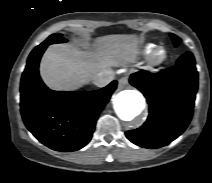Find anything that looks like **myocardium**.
I'll return each mask as SVG.
<instances>
[{
    "instance_id": "obj_1",
    "label": "myocardium",
    "mask_w": 212,
    "mask_h": 183,
    "mask_svg": "<svg viewBox=\"0 0 212 183\" xmlns=\"http://www.w3.org/2000/svg\"><path fill=\"white\" fill-rule=\"evenodd\" d=\"M162 53V55H159ZM168 51L162 46L155 47L148 55L146 68H154L165 63L168 59Z\"/></svg>"
}]
</instances>
